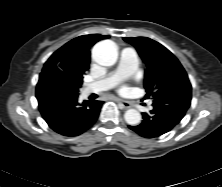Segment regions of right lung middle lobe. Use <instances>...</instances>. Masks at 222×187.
Returning <instances> with one entry per match:
<instances>
[{"mask_svg": "<svg viewBox=\"0 0 222 187\" xmlns=\"http://www.w3.org/2000/svg\"><path fill=\"white\" fill-rule=\"evenodd\" d=\"M56 73L63 79L64 83L69 87L70 90L78 92L82 85L83 76L74 72L71 69H60Z\"/></svg>", "mask_w": 222, "mask_h": 187, "instance_id": "1", "label": "right lung middle lobe"}]
</instances>
